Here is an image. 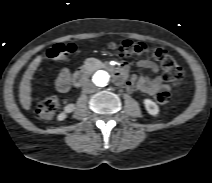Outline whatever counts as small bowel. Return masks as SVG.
Listing matches in <instances>:
<instances>
[{
	"label": "small bowel",
	"instance_id": "obj_1",
	"mask_svg": "<svg viewBox=\"0 0 212 183\" xmlns=\"http://www.w3.org/2000/svg\"><path fill=\"white\" fill-rule=\"evenodd\" d=\"M136 65L140 69H147L151 71L153 74L158 72V66L150 60H140ZM128 67V63L122 65L120 69L122 80L118 82L119 84H124L128 91L138 89L149 95H155L159 90L168 88L160 76H140L133 80H127ZM71 83L72 79L70 71L68 69H62L56 80L57 90L60 93H67L71 88Z\"/></svg>",
	"mask_w": 212,
	"mask_h": 183
}]
</instances>
